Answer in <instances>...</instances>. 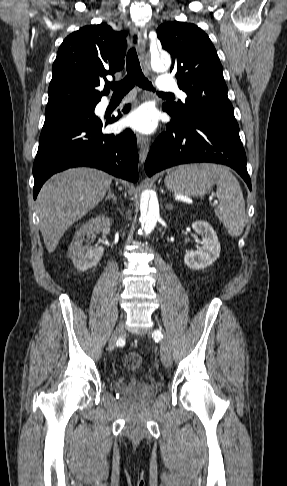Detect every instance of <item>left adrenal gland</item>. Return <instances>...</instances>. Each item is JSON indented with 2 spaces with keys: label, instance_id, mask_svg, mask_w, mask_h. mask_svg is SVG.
Wrapping results in <instances>:
<instances>
[{
  "label": "left adrenal gland",
  "instance_id": "left-adrenal-gland-1",
  "mask_svg": "<svg viewBox=\"0 0 287 486\" xmlns=\"http://www.w3.org/2000/svg\"><path fill=\"white\" fill-rule=\"evenodd\" d=\"M165 208H166V209H168V210H172L174 207H173V205H171V204H167V205L165 206Z\"/></svg>",
  "mask_w": 287,
  "mask_h": 486
}]
</instances>
